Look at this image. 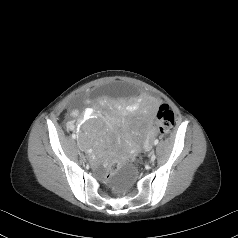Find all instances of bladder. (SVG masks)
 Here are the masks:
<instances>
[{
  "label": "bladder",
  "instance_id": "1",
  "mask_svg": "<svg viewBox=\"0 0 238 238\" xmlns=\"http://www.w3.org/2000/svg\"><path fill=\"white\" fill-rule=\"evenodd\" d=\"M139 90L137 87L123 82L102 85L93 89L92 94L94 97L99 98L101 96L117 95V94H126L131 97L137 96ZM81 141V140H80Z\"/></svg>",
  "mask_w": 238,
  "mask_h": 238
}]
</instances>
